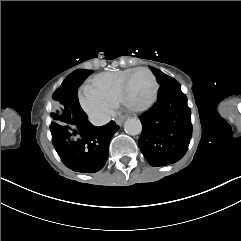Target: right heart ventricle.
Masks as SVG:
<instances>
[{"label":"right heart ventricle","instance_id":"right-heart-ventricle-1","mask_svg":"<svg viewBox=\"0 0 241 241\" xmlns=\"http://www.w3.org/2000/svg\"><path fill=\"white\" fill-rule=\"evenodd\" d=\"M134 71L135 69H129L124 71H111L99 73L93 76L91 79H89L86 84H94L97 87L99 93L107 96L115 105H117L120 104L119 99L122 95L123 77L125 75H130ZM127 92L129 91L127 90Z\"/></svg>","mask_w":241,"mask_h":241}]
</instances>
